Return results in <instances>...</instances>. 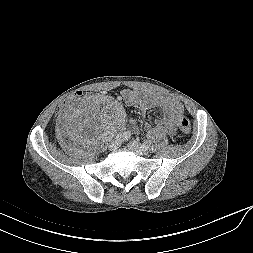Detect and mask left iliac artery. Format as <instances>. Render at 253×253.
<instances>
[{"instance_id":"obj_1","label":"left iliac artery","mask_w":253,"mask_h":253,"mask_svg":"<svg viewBox=\"0 0 253 253\" xmlns=\"http://www.w3.org/2000/svg\"><path fill=\"white\" fill-rule=\"evenodd\" d=\"M151 145V142L150 141H147L145 144H144V146H147V147H149Z\"/></svg>"}]
</instances>
